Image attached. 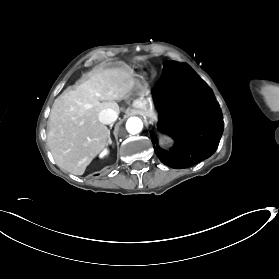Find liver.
I'll return each mask as SVG.
<instances>
[{
	"instance_id": "liver-1",
	"label": "liver",
	"mask_w": 279,
	"mask_h": 279,
	"mask_svg": "<svg viewBox=\"0 0 279 279\" xmlns=\"http://www.w3.org/2000/svg\"><path fill=\"white\" fill-rule=\"evenodd\" d=\"M133 88L134 83L121 68L94 70L76 90L62 93L54 101L47 145L61 169L74 175L85 172L108 145V128L99 121V113L108 108L119 112L116 101Z\"/></svg>"
}]
</instances>
